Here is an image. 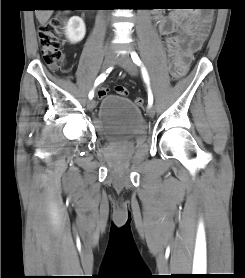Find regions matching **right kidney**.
<instances>
[{"label": "right kidney", "instance_id": "obj_1", "mask_svg": "<svg viewBox=\"0 0 245 278\" xmlns=\"http://www.w3.org/2000/svg\"><path fill=\"white\" fill-rule=\"evenodd\" d=\"M86 33V27L82 18L78 16L71 17L65 27V35L71 43L80 42Z\"/></svg>", "mask_w": 245, "mask_h": 278}]
</instances>
